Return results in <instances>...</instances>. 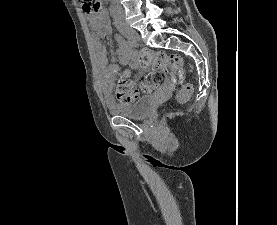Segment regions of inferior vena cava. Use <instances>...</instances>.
<instances>
[{
  "label": "inferior vena cava",
  "mask_w": 277,
  "mask_h": 225,
  "mask_svg": "<svg viewBox=\"0 0 277 225\" xmlns=\"http://www.w3.org/2000/svg\"><path fill=\"white\" fill-rule=\"evenodd\" d=\"M111 1H112V3H113L114 5H116V7H117L119 10L122 9L119 0H111ZM122 18H124L123 14H122Z\"/></svg>",
  "instance_id": "1"
}]
</instances>
